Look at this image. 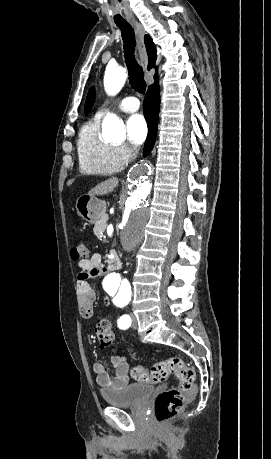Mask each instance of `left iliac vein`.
Returning a JSON list of instances; mask_svg holds the SVG:
<instances>
[{"label":"left iliac vein","instance_id":"left-iliac-vein-1","mask_svg":"<svg viewBox=\"0 0 271 459\" xmlns=\"http://www.w3.org/2000/svg\"><path fill=\"white\" fill-rule=\"evenodd\" d=\"M131 318H132V327L133 328H136L137 326V323H136V317L134 314H131Z\"/></svg>","mask_w":271,"mask_h":459}]
</instances>
